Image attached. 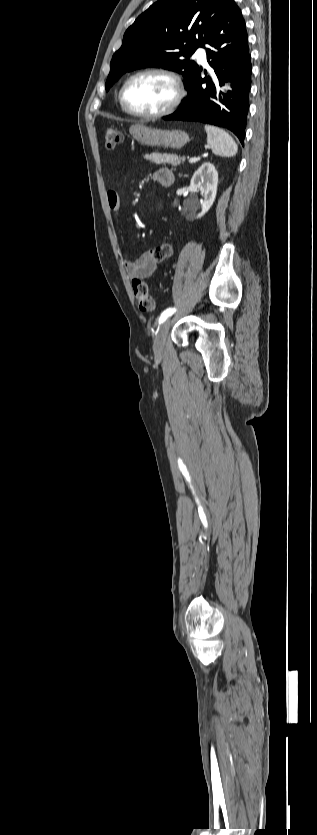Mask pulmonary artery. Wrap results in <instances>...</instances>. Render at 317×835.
<instances>
[{
    "label": "pulmonary artery",
    "mask_w": 317,
    "mask_h": 835,
    "mask_svg": "<svg viewBox=\"0 0 317 835\" xmlns=\"http://www.w3.org/2000/svg\"><path fill=\"white\" fill-rule=\"evenodd\" d=\"M194 57H195V58H196V59H197V60H198L201 64H204V65H205V64L207 63V62H206V51H205V49H204L203 47H199V48L196 50V52H195V54H194Z\"/></svg>",
    "instance_id": "1"
}]
</instances>
